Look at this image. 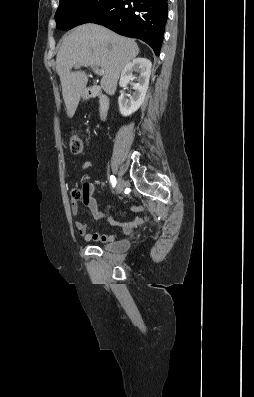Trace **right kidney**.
Returning <instances> with one entry per match:
<instances>
[{"instance_id":"1","label":"right kidney","mask_w":254,"mask_h":397,"mask_svg":"<svg viewBox=\"0 0 254 397\" xmlns=\"http://www.w3.org/2000/svg\"><path fill=\"white\" fill-rule=\"evenodd\" d=\"M152 63L146 58H136L129 62L123 69L120 78V86L126 87L129 81L137 79L133 85L134 92L128 95L122 94L118 98L119 110L123 116H129L137 111L144 102L149 85ZM133 72L140 73L138 77Z\"/></svg>"}]
</instances>
